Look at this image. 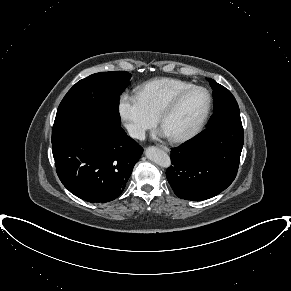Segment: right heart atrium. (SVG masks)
<instances>
[{"label": "right heart atrium", "mask_w": 291, "mask_h": 291, "mask_svg": "<svg viewBox=\"0 0 291 291\" xmlns=\"http://www.w3.org/2000/svg\"><path fill=\"white\" fill-rule=\"evenodd\" d=\"M119 113L128 133L135 139L143 138L146 131L156 125V118L146 110L137 96L122 94Z\"/></svg>", "instance_id": "right-heart-atrium-1"}]
</instances>
